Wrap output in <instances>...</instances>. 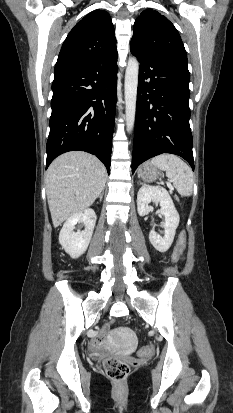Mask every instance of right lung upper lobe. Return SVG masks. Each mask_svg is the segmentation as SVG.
<instances>
[{
	"instance_id": "cb5924a9",
	"label": "right lung upper lobe",
	"mask_w": 233,
	"mask_h": 413,
	"mask_svg": "<svg viewBox=\"0 0 233 413\" xmlns=\"http://www.w3.org/2000/svg\"><path fill=\"white\" fill-rule=\"evenodd\" d=\"M117 53L110 15L95 10L79 21L64 41L55 72Z\"/></svg>"
}]
</instances>
